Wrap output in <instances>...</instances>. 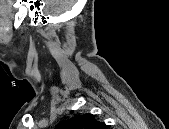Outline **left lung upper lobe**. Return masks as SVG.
Returning <instances> with one entry per match:
<instances>
[{
	"label": "left lung upper lobe",
	"instance_id": "obj_1",
	"mask_svg": "<svg viewBox=\"0 0 169 129\" xmlns=\"http://www.w3.org/2000/svg\"><path fill=\"white\" fill-rule=\"evenodd\" d=\"M57 129H106V125L97 121L92 114L75 116L69 120L62 121Z\"/></svg>",
	"mask_w": 169,
	"mask_h": 129
}]
</instances>
